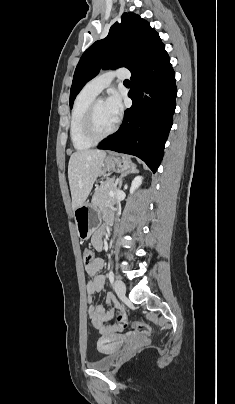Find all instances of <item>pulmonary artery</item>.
<instances>
[{
  "label": "pulmonary artery",
  "mask_w": 235,
  "mask_h": 404,
  "mask_svg": "<svg viewBox=\"0 0 235 404\" xmlns=\"http://www.w3.org/2000/svg\"><path fill=\"white\" fill-rule=\"evenodd\" d=\"M129 77L130 72L127 68L109 71L90 80L83 89L91 94L98 95L103 89L110 85L114 78L128 79Z\"/></svg>",
  "instance_id": "obj_1"
}]
</instances>
